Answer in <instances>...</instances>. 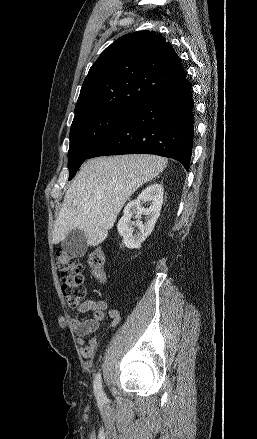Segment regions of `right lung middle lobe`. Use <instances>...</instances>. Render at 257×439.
<instances>
[{
	"mask_svg": "<svg viewBox=\"0 0 257 439\" xmlns=\"http://www.w3.org/2000/svg\"><path fill=\"white\" fill-rule=\"evenodd\" d=\"M131 113L93 111L74 117L68 152L69 180L100 142Z\"/></svg>",
	"mask_w": 257,
	"mask_h": 439,
	"instance_id": "obj_1",
	"label": "right lung middle lobe"
}]
</instances>
